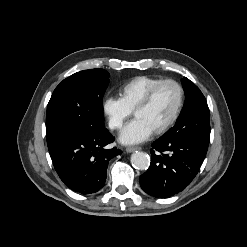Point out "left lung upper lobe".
Segmentation results:
<instances>
[{
    "label": "left lung upper lobe",
    "mask_w": 247,
    "mask_h": 247,
    "mask_svg": "<svg viewBox=\"0 0 247 247\" xmlns=\"http://www.w3.org/2000/svg\"><path fill=\"white\" fill-rule=\"evenodd\" d=\"M186 101L176 124L162 137H185L205 142L210 139V112L199 88L188 78L182 79Z\"/></svg>",
    "instance_id": "5c2ea615"
}]
</instances>
